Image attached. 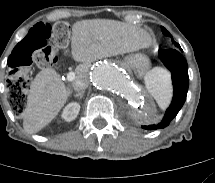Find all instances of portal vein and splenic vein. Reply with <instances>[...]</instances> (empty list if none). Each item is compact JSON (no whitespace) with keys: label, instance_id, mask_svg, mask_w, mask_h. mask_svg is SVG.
I'll return each mask as SVG.
<instances>
[{"label":"portal vein and splenic vein","instance_id":"obj_1","mask_svg":"<svg viewBox=\"0 0 215 183\" xmlns=\"http://www.w3.org/2000/svg\"><path fill=\"white\" fill-rule=\"evenodd\" d=\"M76 78L75 72L71 71L67 74L68 81H73Z\"/></svg>","mask_w":215,"mask_h":183}]
</instances>
